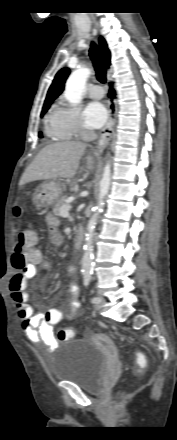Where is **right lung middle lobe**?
Segmentation results:
<instances>
[{
	"instance_id": "1",
	"label": "right lung middle lobe",
	"mask_w": 177,
	"mask_h": 440,
	"mask_svg": "<svg viewBox=\"0 0 177 440\" xmlns=\"http://www.w3.org/2000/svg\"><path fill=\"white\" fill-rule=\"evenodd\" d=\"M51 103L52 102L44 103V106H43V109H42V112H41V117L47 112V110L49 109ZM39 137L42 138V133L41 132L39 133Z\"/></svg>"
}]
</instances>
